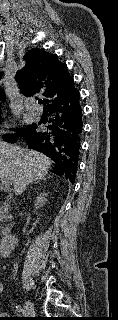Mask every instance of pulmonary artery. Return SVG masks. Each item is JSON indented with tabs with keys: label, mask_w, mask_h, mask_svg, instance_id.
Listing matches in <instances>:
<instances>
[{
	"label": "pulmonary artery",
	"mask_w": 118,
	"mask_h": 320,
	"mask_svg": "<svg viewBox=\"0 0 118 320\" xmlns=\"http://www.w3.org/2000/svg\"><path fill=\"white\" fill-rule=\"evenodd\" d=\"M26 110L35 116H39L41 113L40 107L36 103H26Z\"/></svg>",
	"instance_id": "e3ab8cb5"
}]
</instances>
